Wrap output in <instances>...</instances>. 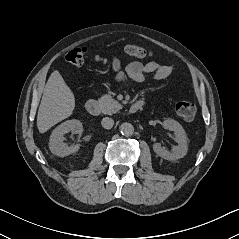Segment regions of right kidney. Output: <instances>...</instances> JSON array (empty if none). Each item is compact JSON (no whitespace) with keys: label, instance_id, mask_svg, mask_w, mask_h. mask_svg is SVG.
<instances>
[{"label":"right kidney","instance_id":"obj_1","mask_svg":"<svg viewBox=\"0 0 239 239\" xmlns=\"http://www.w3.org/2000/svg\"><path fill=\"white\" fill-rule=\"evenodd\" d=\"M82 123L79 120H67L57 126L51 133L49 139V149L50 151L59 156L65 157L72 154L79 149V145L66 146L64 141V135L70 131L76 130L77 132L82 131Z\"/></svg>","mask_w":239,"mask_h":239}]
</instances>
